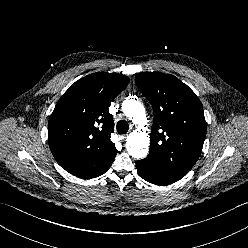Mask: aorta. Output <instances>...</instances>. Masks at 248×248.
I'll return each instance as SVG.
<instances>
[{"instance_id":"762f6f07","label":"aorta","mask_w":248,"mask_h":248,"mask_svg":"<svg viewBox=\"0 0 248 248\" xmlns=\"http://www.w3.org/2000/svg\"><path fill=\"white\" fill-rule=\"evenodd\" d=\"M122 111L127 117L133 119L134 124L143 126L146 122V112L144 106L137 100L126 99L122 103ZM128 153L136 158H144L148 154L149 136L146 132L135 131L129 134L126 140Z\"/></svg>"}]
</instances>
